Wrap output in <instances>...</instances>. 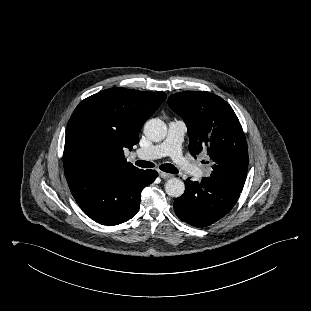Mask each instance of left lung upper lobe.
<instances>
[{"label": "left lung upper lobe", "instance_id": "obj_1", "mask_svg": "<svg viewBox=\"0 0 311 311\" xmlns=\"http://www.w3.org/2000/svg\"><path fill=\"white\" fill-rule=\"evenodd\" d=\"M168 104L187 125L189 151L194 158L206 152L212 165L210 177L241 193L248 170V149L230 105L204 91L171 95Z\"/></svg>", "mask_w": 311, "mask_h": 311}]
</instances>
